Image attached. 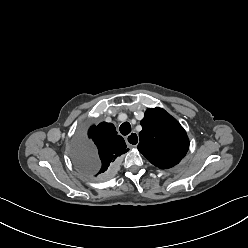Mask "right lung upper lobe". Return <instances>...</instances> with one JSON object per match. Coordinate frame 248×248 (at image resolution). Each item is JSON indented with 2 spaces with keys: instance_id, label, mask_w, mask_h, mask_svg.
<instances>
[{
  "instance_id": "1",
  "label": "right lung upper lobe",
  "mask_w": 248,
  "mask_h": 248,
  "mask_svg": "<svg viewBox=\"0 0 248 248\" xmlns=\"http://www.w3.org/2000/svg\"><path fill=\"white\" fill-rule=\"evenodd\" d=\"M88 136L94 144L99 161L95 177L107 173L116 164L118 157L128 151L124 139L117 134L111 123L93 125L88 131Z\"/></svg>"
}]
</instances>
